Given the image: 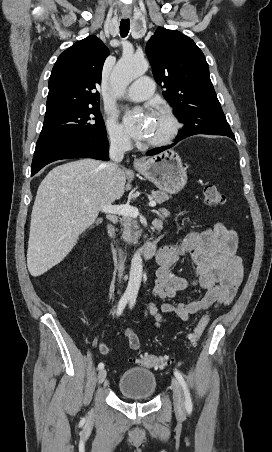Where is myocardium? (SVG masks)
I'll return each instance as SVG.
<instances>
[{"instance_id":"myocardium-1","label":"myocardium","mask_w":272,"mask_h":452,"mask_svg":"<svg viewBox=\"0 0 272 452\" xmlns=\"http://www.w3.org/2000/svg\"><path fill=\"white\" fill-rule=\"evenodd\" d=\"M158 113L162 114L167 119L169 129L161 138L147 141L146 145L148 147H162L170 144L176 138L180 130V122L170 109L161 108Z\"/></svg>"}]
</instances>
